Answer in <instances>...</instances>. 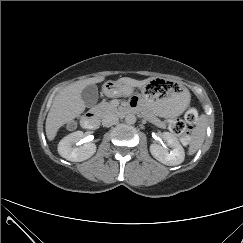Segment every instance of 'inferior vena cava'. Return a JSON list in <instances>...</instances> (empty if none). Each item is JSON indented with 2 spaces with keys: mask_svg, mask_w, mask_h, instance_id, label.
<instances>
[{
  "mask_svg": "<svg viewBox=\"0 0 243 243\" xmlns=\"http://www.w3.org/2000/svg\"><path fill=\"white\" fill-rule=\"evenodd\" d=\"M118 120L119 118L117 117L116 114L109 113L102 118V125L104 127H110L118 123Z\"/></svg>",
  "mask_w": 243,
  "mask_h": 243,
  "instance_id": "602c4592",
  "label": "inferior vena cava"
}]
</instances>
